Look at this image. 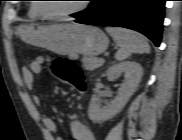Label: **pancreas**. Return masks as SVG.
I'll list each match as a JSON object with an SVG mask.
<instances>
[{
  "mask_svg": "<svg viewBox=\"0 0 182 140\" xmlns=\"http://www.w3.org/2000/svg\"><path fill=\"white\" fill-rule=\"evenodd\" d=\"M82 63L84 68L89 71H93L102 65V63L100 62V59L96 57H88V56H84L82 58Z\"/></svg>",
  "mask_w": 182,
  "mask_h": 140,
  "instance_id": "pancreas-1",
  "label": "pancreas"
}]
</instances>
